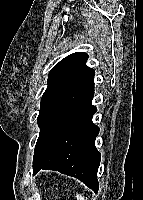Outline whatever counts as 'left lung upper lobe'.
Returning <instances> with one entry per match:
<instances>
[{
	"label": "left lung upper lobe",
	"instance_id": "left-lung-upper-lobe-1",
	"mask_svg": "<svg viewBox=\"0 0 143 200\" xmlns=\"http://www.w3.org/2000/svg\"><path fill=\"white\" fill-rule=\"evenodd\" d=\"M87 59L86 53L76 52L63 58L52 68L48 75L47 89L41 99V108L77 77L86 67Z\"/></svg>",
	"mask_w": 143,
	"mask_h": 200
}]
</instances>
